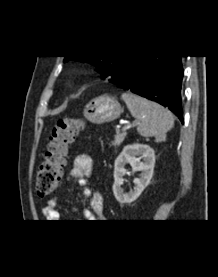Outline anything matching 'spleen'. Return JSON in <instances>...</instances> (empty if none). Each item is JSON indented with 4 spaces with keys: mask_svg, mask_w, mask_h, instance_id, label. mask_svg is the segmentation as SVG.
Instances as JSON below:
<instances>
[{
    "mask_svg": "<svg viewBox=\"0 0 218 277\" xmlns=\"http://www.w3.org/2000/svg\"><path fill=\"white\" fill-rule=\"evenodd\" d=\"M121 98L126 103L131 115L141 121L137 128L141 136H155L158 140L166 138V133L174 126L171 112L157 103L130 92L123 93Z\"/></svg>",
    "mask_w": 218,
    "mask_h": 277,
    "instance_id": "3e777b00",
    "label": "spleen"
}]
</instances>
